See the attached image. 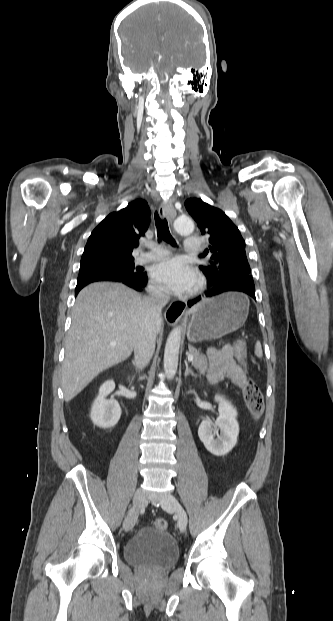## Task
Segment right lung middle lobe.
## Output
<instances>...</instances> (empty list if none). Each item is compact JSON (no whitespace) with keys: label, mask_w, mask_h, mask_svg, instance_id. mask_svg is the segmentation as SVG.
<instances>
[{"label":"right lung middle lobe","mask_w":333,"mask_h":621,"mask_svg":"<svg viewBox=\"0 0 333 621\" xmlns=\"http://www.w3.org/2000/svg\"><path fill=\"white\" fill-rule=\"evenodd\" d=\"M87 271L132 274L139 273L141 270L134 266L133 257H97L81 259L79 273Z\"/></svg>","instance_id":"dd1d6c3e"}]
</instances>
